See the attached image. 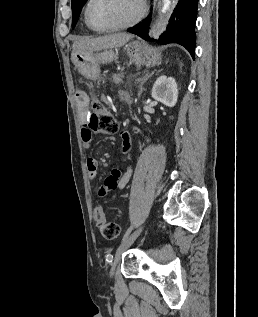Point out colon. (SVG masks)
I'll return each instance as SVG.
<instances>
[{
  "label": "colon",
  "instance_id": "1",
  "mask_svg": "<svg viewBox=\"0 0 258 317\" xmlns=\"http://www.w3.org/2000/svg\"><path fill=\"white\" fill-rule=\"evenodd\" d=\"M86 128L92 133L113 134L118 131L119 124L116 117L97 100H92L89 105ZM94 219L100 234L107 240H114L120 234L118 224L106 219L102 206H97Z\"/></svg>",
  "mask_w": 258,
  "mask_h": 317
}]
</instances>
